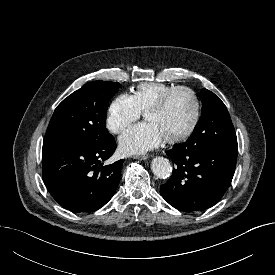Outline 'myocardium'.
<instances>
[{
    "label": "myocardium",
    "instance_id": "myocardium-1",
    "mask_svg": "<svg viewBox=\"0 0 275 275\" xmlns=\"http://www.w3.org/2000/svg\"><path fill=\"white\" fill-rule=\"evenodd\" d=\"M178 91H186L188 92L192 99H193V104H194V111H193V117L192 120L189 124V126L187 127V129L185 131H183L180 134L174 135V136H169L164 138L166 142L168 143H180L185 141L186 139H188L195 131L199 119H200V101H199V97L197 95V93L190 87L188 86H174L172 88H170L169 90H167L166 92H164L153 104H151L147 110L145 111V115L149 112H154V111H159L161 110L165 104L167 103V101L169 100V98L176 92Z\"/></svg>",
    "mask_w": 275,
    "mask_h": 275
}]
</instances>
